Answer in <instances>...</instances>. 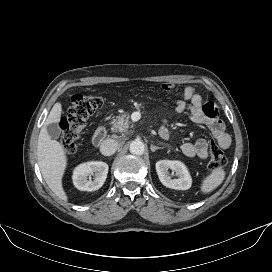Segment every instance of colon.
I'll use <instances>...</instances> for the list:
<instances>
[{
    "mask_svg": "<svg viewBox=\"0 0 272 272\" xmlns=\"http://www.w3.org/2000/svg\"><path fill=\"white\" fill-rule=\"evenodd\" d=\"M102 104V98L97 95L76 94L72 96L68 115L63 117L60 122L59 141L66 152H73L75 150L89 117ZM209 152L211 170H222L226 166V159L220 146L212 142Z\"/></svg>",
    "mask_w": 272,
    "mask_h": 272,
    "instance_id": "obj_1",
    "label": "colon"
}]
</instances>
